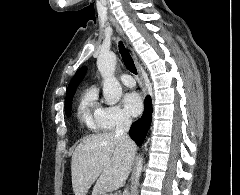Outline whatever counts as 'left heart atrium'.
<instances>
[{
  "label": "left heart atrium",
  "mask_w": 240,
  "mask_h": 195,
  "mask_svg": "<svg viewBox=\"0 0 240 195\" xmlns=\"http://www.w3.org/2000/svg\"><path fill=\"white\" fill-rule=\"evenodd\" d=\"M125 104L129 112L134 116H137L142 112V99L138 92L133 91L127 94L125 97Z\"/></svg>",
  "instance_id": "39dd6f15"
}]
</instances>
